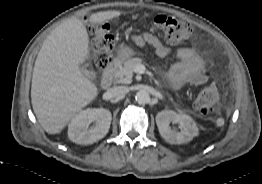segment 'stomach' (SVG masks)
Segmentation results:
<instances>
[{
  "mask_svg": "<svg viewBox=\"0 0 262 184\" xmlns=\"http://www.w3.org/2000/svg\"><path fill=\"white\" fill-rule=\"evenodd\" d=\"M135 54L134 49L131 46L122 44L117 50V58L125 60Z\"/></svg>",
  "mask_w": 262,
  "mask_h": 184,
  "instance_id": "stomach-1",
  "label": "stomach"
}]
</instances>
